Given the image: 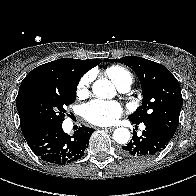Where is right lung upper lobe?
<instances>
[{"mask_svg": "<svg viewBox=\"0 0 196 196\" xmlns=\"http://www.w3.org/2000/svg\"><path fill=\"white\" fill-rule=\"evenodd\" d=\"M101 61V59L79 60L72 58H62L38 66L23 79L18 92V96L16 98V102L27 88L38 83H43L51 80L79 82L80 78L88 70L99 65ZM19 117L22 133L25 139H27L35 132V130L27 126L20 113Z\"/></svg>", "mask_w": 196, "mask_h": 196, "instance_id": "cb5924a9", "label": "right lung upper lobe"}]
</instances>
